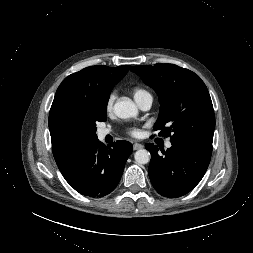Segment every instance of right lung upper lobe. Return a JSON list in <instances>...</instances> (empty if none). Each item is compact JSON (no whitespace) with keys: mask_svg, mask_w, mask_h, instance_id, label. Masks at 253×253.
Wrapping results in <instances>:
<instances>
[{"mask_svg":"<svg viewBox=\"0 0 253 253\" xmlns=\"http://www.w3.org/2000/svg\"><path fill=\"white\" fill-rule=\"evenodd\" d=\"M129 68L130 65L90 66L63 80L49 114L52 151L57 164L90 141L85 119L107 108L112 88Z\"/></svg>","mask_w":253,"mask_h":253,"instance_id":"right-lung-upper-lobe-1","label":"right lung upper lobe"}]
</instances>
